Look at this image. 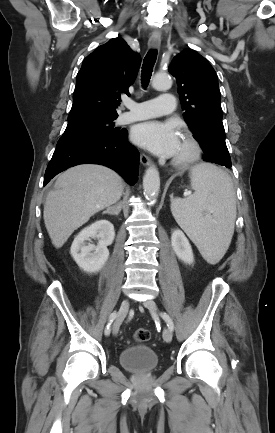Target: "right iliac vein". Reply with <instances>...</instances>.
Segmentation results:
<instances>
[{"label":"right iliac vein","mask_w":275,"mask_h":433,"mask_svg":"<svg viewBox=\"0 0 275 433\" xmlns=\"http://www.w3.org/2000/svg\"><path fill=\"white\" fill-rule=\"evenodd\" d=\"M128 310H129V302H128V300H124L120 305V308H119V311L117 313L115 322L113 324L112 331H113L114 335H117V333L120 329V326H121L124 318L126 317V315L128 313Z\"/></svg>","instance_id":"1"}]
</instances>
